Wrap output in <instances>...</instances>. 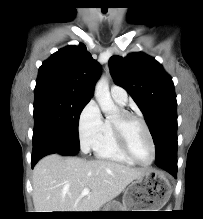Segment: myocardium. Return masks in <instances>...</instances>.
Returning <instances> with one entry per match:
<instances>
[{
	"mask_svg": "<svg viewBox=\"0 0 203 219\" xmlns=\"http://www.w3.org/2000/svg\"><path fill=\"white\" fill-rule=\"evenodd\" d=\"M139 121L147 136L149 139V142L151 144V148H152V158L149 162L144 163L139 161L132 153L130 146H129V141H128V126L132 121ZM113 123V128L115 131V135L118 141V144L120 146V148L122 149V151L125 153V155L132 160L134 163L141 165V166H149L151 165L155 158H156V145H155V141L153 139L152 133L150 131V128L147 124V122L145 121V119L134 112L131 111H127V110H121L118 115L112 120Z\"/></svg>",
	"mask_w": 203,
	"mask_h": 219,
	"instance_id": "myocardium-1",
	"label": "myocardium"
}]
</instances>
